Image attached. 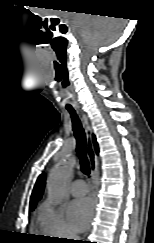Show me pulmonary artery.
I'll return each instance as SVG.
<instances>
[{"mask_svg": "<svg viewBox=\"0 0 154 243\" xmlns=\"http://www.w3.org/2000/svg\"><path fill=\"white\" fill-rule=\"evenodd\" d=\"M87 191H88V187L84 180H76L72 184L71 193L74 196H82L86 194Z\"/></svg>", "mask_w": 154, "mask_h": 243, "instance_id": "obj_1", "label": "pulmonary artery"}]
</instances>
